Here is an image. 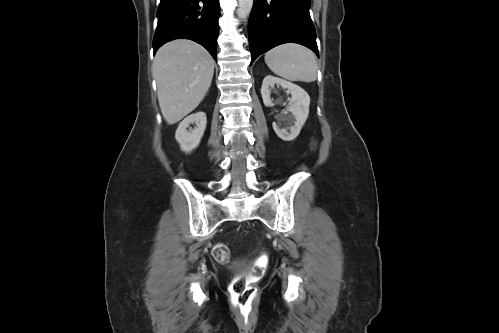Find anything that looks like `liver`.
Listing matches in <instances>:
<instances>
[{
	"label": "liver",
	"instance_id": "1",
	"mask_svg": "<svg viewBox=\"0 0 499 333\" xmlns=\"http://www.w3.org/2000/svg\"><path fill=\"white\" fill-rule=\"evenodd\" d=\"M214 64L204 47L188 39L170 41L157 51L153 76L161 113L169 125L179 122L203 100Z\"/></svg>",
	"mask_w": 499,
	"mask_h": 333
}]
</instances>
